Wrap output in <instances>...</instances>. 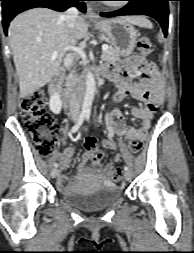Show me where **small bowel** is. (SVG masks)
<instances>
[{
	"label": "small bowel",
	"mask_w": 194,
	"mask_h": 253,
	"mask_svg": "<svg viewBox=\"0 0 194 253\" xmlns=\"http://www.w3.org/2000/svg\"><path fill=\"white\" fill-rule=\"evenodd\" d=\"M147 59V56L131 57L111 69L103 68L101 70V73L111 79L117 86V92L114 95L117 103H121L128 95L144 102L143 107H133L131 109L132 115L141 120L139 128L127 126L120 108L111 111L108 117V138L101 142L102 147L105 149H117V145L113 140L115 135L124 136L129 141L133 139L145 140L151 127L153 114L164 101V85L154 77L153 71H157V66H155L153 60ZM133 79H137V81H133ZM74 153V147H67L63 150L58 157L61 170H66L69 167ZM121 158V154L116 152L112 161L103 168L100 162L91 160V151L87 150L81 157L78 172L79 174L92 172L99 179L109 182L115 168L114 165ZM89 160L92 162L91 167L87 165ZM57 186L62 191H69L71 181L65 174L60 172L57 178Z\"/></svg>",
	"instance_id": "1"
}]
</instances>
